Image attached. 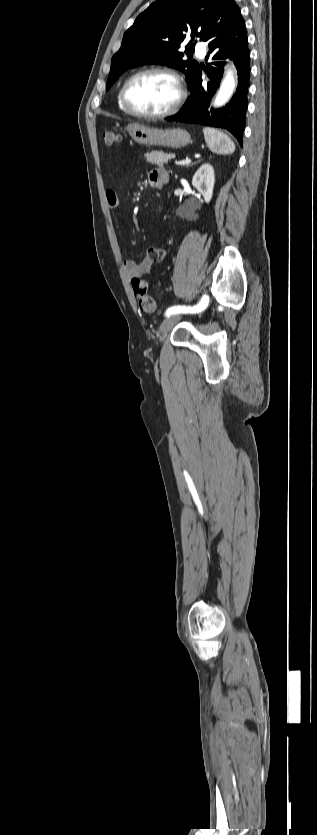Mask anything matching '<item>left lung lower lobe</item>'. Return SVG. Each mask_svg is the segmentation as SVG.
Instances as JSON below:
<instances>
[{
    "label": "left lung lower lobe",
    "instance_id": "left-lung-lower-lobe-1",
    "mask_svg": "<svg viewBox=\"0 0 317 835\" xmlns=\"http://www.w3.org/2000/svg\"><path fill=\"white\" fill-rule=\"evenodd\" d=\"M211 64L205 69L199 66L193 78L188 83L191 95L183 108L176 115L167 117L168 121L198 123L207 126L224 128L230 131L242 146L245 116L248 106L247 93L249 88V56L245 22L239 7L234 0H229L225 9L222 25L208 40ZM234 61L238 70V87L236 94L225 107L212 112L207 111L224 71V59ZM202 68L210 81L202 86Z\"/></svg>",
    "mask_w": 317,
    "mask_h": 835
}]
</instances>
